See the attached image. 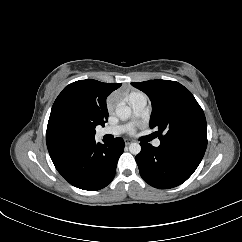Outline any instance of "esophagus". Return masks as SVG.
Masks as SVG:
<instances>
[{
	"mask_svg": "<svg viewBox=\"0 0 242 242\" xmlns=\"http://www.w3.org/2000/svg\"><path fill=\"white\" fill-rule=\"evenodd\" d=\"M126 145H130L133 141L131 139H124Z\"/></svg>",
	"mask_w": 242,
	"mask_h": 242,
	"instance_id": "obj_1",
	"label": "esophagus"
}]
</instances>
